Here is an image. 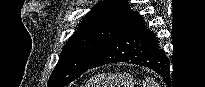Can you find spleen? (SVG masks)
I'll return each mask as SVG.
<instances>
[{"label":"spleen","instance_id":"spleen-1","mask_svg":"<svg viewBox=\"0 0 205 87\" xmlns=\"http://www.w3.org/2000/svg\"><path fill=\"white\" fill-rule=\"evenodd\" d=\"M144 87H160L157 82L153 78H147L144 83Z\"/></svg>","mask_w":205,"mask_h":87}]
</instances>
